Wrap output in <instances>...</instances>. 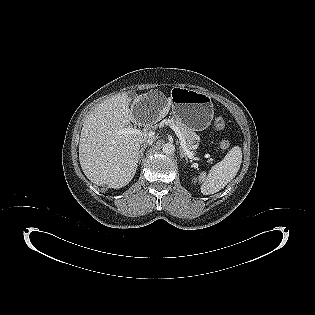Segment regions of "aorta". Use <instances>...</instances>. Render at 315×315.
Masks as SVG:
<instances>
[{
    "mask_svg": "<svg viewBox=\"0 0 315 315\" xmlns=\"http://www.w3.org/2000/svg\"><path fill=\"white\" fill-rule=\"evenodd\" d=\"M162 151L166 155L172 154L175 151V146L173 143H166L163 145Z\"/></svg>",
    "mask_w": 315,
    "mask_h": 315,
    "instance_id": "1",
    "label": "aorta"
}]
</instances>
